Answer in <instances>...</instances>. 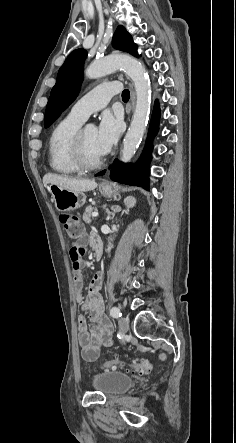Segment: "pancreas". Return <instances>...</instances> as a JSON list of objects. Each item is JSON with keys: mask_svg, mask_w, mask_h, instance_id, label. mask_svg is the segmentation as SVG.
I'll use <instances>...</instances> for the list:
<instances>
[{"mask_svg": "<svg viewBox=\"0 0 236 443\" xmlns=\"http://www.w3.org/2000/svg\"><path fill=\"white\" fill-rule=\"evenodd\" d=\"M93 207L92 206H87L85 209V212L83 214V221L86 223H90L91 220V216H92V212H93Z\"/></svg>", "mask_w": 236, "mask_h": 443, "instance_id": "1", "label": "pancreas"}]
</instances>
